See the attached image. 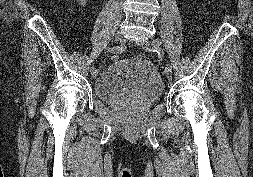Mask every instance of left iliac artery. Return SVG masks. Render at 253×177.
<instances>
[{"mask_svg": "<svg viewBox=\"0 0 253 177\" xmlns=\"http://www.w3.org/2000/svg\"><path fill=\"white\" fill-rule=\"evenodd\" d=\"M161 44H162V41L160 39H158V38L154 39L153 42H152V45L154 47V51L156 52V56L158 57V62H161V60L165 56V53L160 48ZM162 63H165V60H162ZM166 65L167 66H166L165 69L172 70L171 62L170 61H167Z\"/></svg>", "mask_w": 253, "mask_h": 177, "instance_id": "44dca946", "label": "left iliac artery"}]
</instances>
